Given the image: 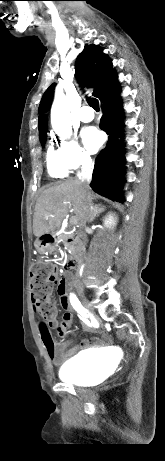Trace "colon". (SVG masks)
Instances as JSON below:
<instances>
[{
  "mask_svg": "<svg viewBox=\"0 0 165 461\" xmlns=\"http://www.w3.org/2000/svg\"><path fill=\"white\" fill-rule=\"evenodd\" d=\"M31 276V296L32 301L44 318L48 319L55 315L56 307L51 300V291L57 283V278L62 277L58 269L47 261H35L30 269ZM43 339L47 345H53L54 340L47 326L43 329Z\"/></svg>",
  "mask_w": 165,
  "mask_h": 461,
  "instance_id": "1",
  "label": "colon"
}]
</instances>
